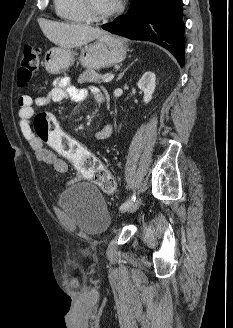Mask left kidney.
<instances>
[{"label":"left kidney","mask_w":233,"mask_h":328,"mask_svg":"<svg viewBox=\"0 0 233 328\" xmlns=\"http://www.w3.org/2000/svg\"><path fill=\"white\" fill-rule=\"evenodd\" d=\"M137 85L139 89L144 93V103H149L152 99V94L156 87L155 74L151 71L145 72L141 79L138 81Z\"/></svg>","instance_id":"left-kidney-1"}]
</instances>
